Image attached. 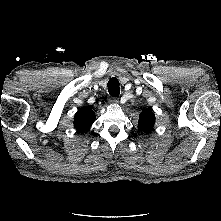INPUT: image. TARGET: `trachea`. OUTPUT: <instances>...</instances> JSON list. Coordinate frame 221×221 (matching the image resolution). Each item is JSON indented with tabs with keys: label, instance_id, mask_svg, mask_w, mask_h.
Listing matches in <instances>:
<instances>
[{
	"label": "trachea",
	"instance_id": "3493384b",
	"mask_svg": "<svg viewBox=\"0 0 221 221\" xmlns=\"http://www.w3.org/2000/svg\"><path fill=\"white\" fill-rule=\"evenodd\" d=\"M108 92L113 97H118L120 94L119 81L116 77L110 78L107 84Z\"/></svg>",
	"mask_w": 221,
	"mask_h": 221
}]
</instances>
